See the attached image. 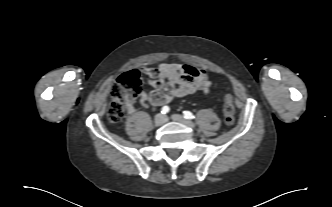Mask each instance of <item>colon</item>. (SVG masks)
Returning <instances> with one entry per match:
<instances>
[{
  "label": "colon",
  "instance_id": "5ec220e1",
  "mask_svg": "<svg viewBox=\"0 0 332 207\" xmlns=\"http://www.w3.org/2000/svg\"><path fill=\"white\" fill-rule=\"evenodd\" d=\"M142 92V78L137 70H131L121 75L111 89V102L107 112L111 122L120 121L126 112L129 102ZM235 107L233 98L227 94L224 98L223 114L226 124L234 123Z\"/></svg>",
  "mask_w": 332,
  "mask_h": 207
}]
</instances>
